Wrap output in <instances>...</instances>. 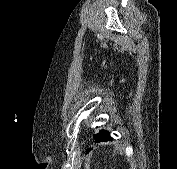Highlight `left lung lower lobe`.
<instances>
[{"mask_svg": "<svg viewBox=\"0 0 177 169\" xmlns=\"http://www.w3.org/2000/svg\"><path fill=\"white\" fill-rule=\"evenodd\" d=\"M113 138L111 137L110 133L107 131V133H105L104 135H101V136H98L96 139H95V142L96 143H99V142H106L108 140H112Z\"/></svg>", "mask_w": 177, "mask_h": 169, "instance_id": "1", "label": "left lung lower lobe"}]
</instances>
